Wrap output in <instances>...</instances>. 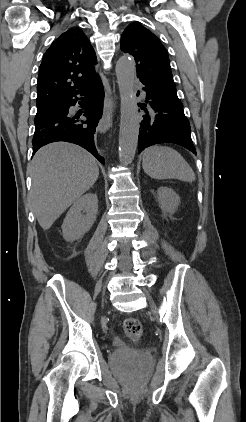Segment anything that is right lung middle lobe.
I'll return each mask as SVG.
<instances>
[{
	"label": "right lung middle lobe",
	"instance_id": "1",
	"mask_svg": "<svg viewBox=\"0 0 246 422\" xmlns=\"http://www.w3.org/2000/svg\"><path fill=\"white\" fill-rule=\"evenodd\" d=\"M47 114H48V112H47L46 108L45 109L37 110V114L35 116V119L36 118H39V117H42L44 115H47Z\"/></svg>",
	"mask_w": 246,
	"mask_h": 422
}]
</instances>
